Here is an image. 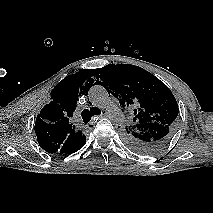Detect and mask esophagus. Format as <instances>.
<instances>
[{
	"label": "esophagus",
	"instance_id": "esophagus-1",
	"mask_svg": "<svg viewBox=\"0 0 213 213\" xmlns=\"http://www.w3.org/2000/svg\"><path fill=\"white\" fill-rule=\"evenodd\" d=\"M105 115H106V114H100V115H98L97 117L94 118L93 121H91V122L87 125V127H88L89 129H92V125H94V124L96 123V120H98V119H100V118H103Z\"/></svg>",
	"mask_w": 213,
	"mask_h": 213
}]
</instances>
